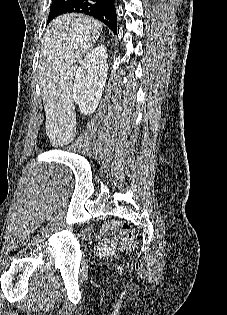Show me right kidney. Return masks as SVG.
Segmentation results:
<instances>
[{
  "instance_id": "right-kidney-1",
  "label": "right kidney",
  "mask_w": 227,
  "mask_h": 315,
  "mask_svg": "<svg viewBox=\"0 0 227 315\" xmlns=\"http://www.w3.org/2000/svg\"><path fill=\"white\" fill-rule=\"evenodd\" d=\"M107 58L106 47L99 45L86 54L76 71L73 98L85 115L98 107L108 74Z\"/></svg>"
}]
</instances>
